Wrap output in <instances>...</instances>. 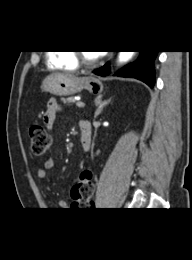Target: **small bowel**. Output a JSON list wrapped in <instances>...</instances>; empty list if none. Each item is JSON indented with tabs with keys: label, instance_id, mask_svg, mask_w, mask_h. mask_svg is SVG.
I'll return each mask as SVG.
<instances>
[{
	"label": "small bowel",
	"instance_id": "c3829d8e",
	"mask_svg": "<svg viewBox=\"0 0 192 260\" xmlns=\"http://www.w3.org/2000/svg\"><path fill=\"white\" fill-rule=\"evenodd\" d=\"M61 110L60 105L55 99H50L47 104V110L44 113L43 122L47 129H51L53 127L55 118L57 113ZM55 167V160L53 158L46 159L44 163V168H40L37 171V177L40 180H44L47 175V171L52 170ZM75 208H82V207H89L90 205H83L81 203L73 201L72 204ZM58 209H65L67 208V203L64 200H60L57 203Z\"/></svg>",
	"mask_w": 192,
	"mask_h": 260
}]
</instances>
